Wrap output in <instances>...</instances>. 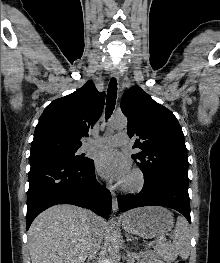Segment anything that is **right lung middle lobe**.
<instances>
[{"label": "right lung middle lobe", "instance_id": "obj_1", "mask_svg": "<svg viewBox=\"0 0 220 263\" xmlns=\"http://www.w3.org/2000/svg\"><path fill=\"white\" fill-rule=\"evenodd\" d=\"M78 148L79 147L69 148V149H53V150L43 151L38 154L51 156L59 160L76 163V164H82L87 162L89 158L83 157V155L79 156L76 154Z\"/></svg>", "mask_w": 220, "mask_h": 263}]
</instances>
